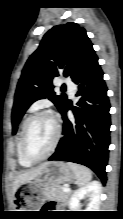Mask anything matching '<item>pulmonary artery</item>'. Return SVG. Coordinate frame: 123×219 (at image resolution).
Here are the masks:
<instances>
[{"label":"pulmonary artery","instance_id":"obj_1","mask_svg":"<svg viewBox=\"0 0 123 219\" xmlns=\"http://www.w3.org/2000/svg\"><path fill=\"white\" fill-rule=\"evenodd\" d=\"M64 84H65V86L67 87L70 96L73 97L74 94H75V91H76V86H75V84H74L71 80H68V79L64 81Z\"/></svg>","mask_w":123,"mask_h":219}]
</instances>
